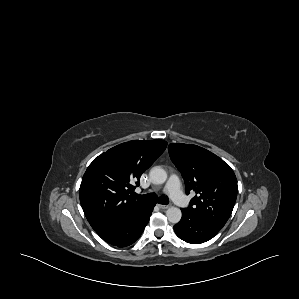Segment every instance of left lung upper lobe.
<instances>
[{"label":"left lung upper lobe","instance_id":"5c2ea615","mask_svg":"<svg viewBox=\"0 0 299 299\" xmlns=\"http://www.w3.org/2000/svg\"><path fill=\"white\" fill-rule=\"evenodd\" d=\"M168 150L184 178L186 194L195 192L189 207L184 210L221 230L237 197L233 170L221 158L196 145L172 143Z\"/></svg>","mask_w":299,"mask_h":299}]
</instances>
